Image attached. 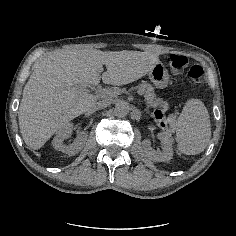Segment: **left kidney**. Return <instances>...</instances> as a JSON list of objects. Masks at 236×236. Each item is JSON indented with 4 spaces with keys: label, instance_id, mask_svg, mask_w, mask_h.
<instances>
[{
    "label": "left kidney",
    "instance_id": "left-kidney-1",
    "mask_svg": "<svg viewBox=\"0 0 236 236\" xmlns=\"http://www.w3.org/2000/svg\"><path fill=\"white\" fill-rule=\"evenodd\" d=\"M158 139H160L163 145L162 151L152 150L150 147V142L148 140H144L142 142L143 148L150 160L156 162H167L171 160L173 156V149L170 138L164 133H158Z\"/></svg>",
    "mask_w": 236,
    "mask_h": 236
}]
</instances>
